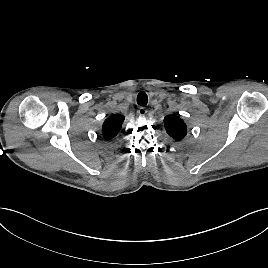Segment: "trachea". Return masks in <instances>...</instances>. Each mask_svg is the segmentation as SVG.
Segmentation results:
<instances>
[{
	"label": "trachea",
	"instance_id": "1",
	"mask_svg": "<svg viewBox=\"0 0 268 268\" xmlns=\"http://www.w3.org/2000/svg\"><path fill=\"white\" fill-rule=\"evenodd\" d=\"M137 103L140 106H146L148 103V96L145 92H140L137 96Z\"/></svg>",
	"mask_w": 268,
	"mask_h": 268
}]
</instances>
